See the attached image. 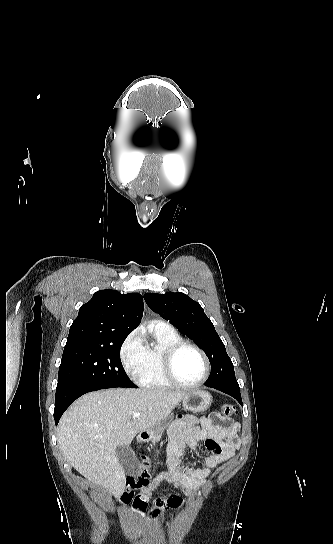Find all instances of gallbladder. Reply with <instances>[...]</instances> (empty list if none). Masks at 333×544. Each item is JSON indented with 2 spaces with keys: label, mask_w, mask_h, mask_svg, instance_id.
Returning a JSON list of instances; mask_svg holds the SVG:
<instances>
[{
  "label": "gallbladder",
  "mask_w": 333,
  "mask_h": 544,
  "mask_svg": "<svg viewBox=\"0 0 333 544\" xmlns=\"http://www.w3.org/2000/svg\"><path fill=\"white\" fill-rule=\"evenodd\" d=\"M116 456L120 461L127 475H137L140 470V464L135 453L125 445H118L115 449Z\"/></svg>",
  "instance_id": "gallbladder-1"
}]
</instances>
